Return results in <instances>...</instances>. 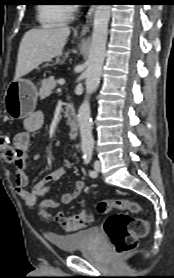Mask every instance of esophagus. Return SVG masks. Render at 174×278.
Listing matches in <instances>:
<instances>
[{
  "instance_id": "obj_1",
  "label": "esophagus",
  "mask_w": 174,
  "mask_h": 278,
  "mask_svg": "<svg viewBox=\"0 0 174 278\" xmlns=\"http://www.w3.org/2000/svg\"><path fill=\"white\" fill-rule=\"evenodd\" d=\"M95 6H91L88 13H87V16H86V21H85V24L83 25L81 31H80V34L81 35H85L89 29H90V26L92 24V20H93V16H94V12H95Z\"/></svg>"
}]
</instances>
